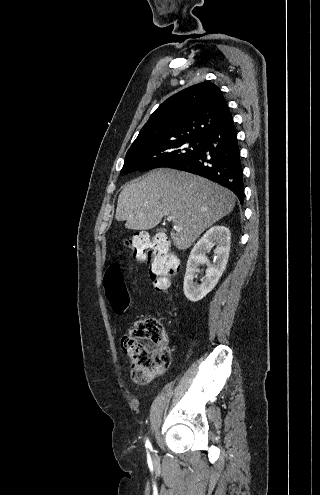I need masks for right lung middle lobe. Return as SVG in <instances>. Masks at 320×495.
I'll return each instance as SVG.
<instances>
[{"mask_svg":"<svg viewBox=\"0 0 320 495\" xmlns=\"http://www.w3.org/2000/svg\"><path fill=\"white\" fill-rule=\"evenodd\" d=\"M202 138H185L172 142L137 146L128 150L121 174L158 167H172L194 156Z\"/></svg>","mask_w":320,"mask_h":495,"instance_id":"1","label":"right lung middle lobe"}]
</instances>
